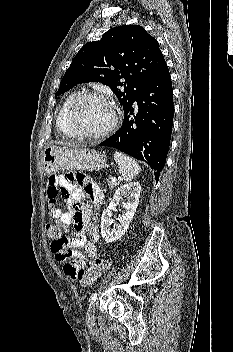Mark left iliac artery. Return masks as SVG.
Returning a JSON list of instances; mask_svg holds the SVG:
<instances>
[{"mask_svg":"<svg viewBox=\"0 0 233 352\" xmlns=\"http://www.w3.org/2000/svg\"><path fill=\"white\" fill-rule=\"evenodd\" d=\"M96 299H97V293L95 292L90 296V299H89L90 304L94 303Z\"/></svg>","mask_w":233,"mask_h":352,"instance_id":"left-iliac-artery-1","label":"left iliac artery"}]
</instances>
